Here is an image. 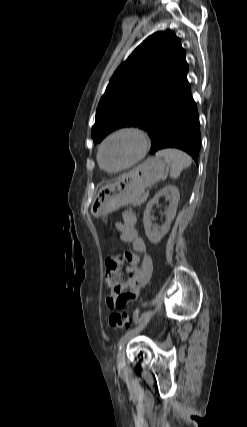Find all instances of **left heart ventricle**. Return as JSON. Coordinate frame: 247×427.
Returning <instances> with one entry per match:
<instances>
[{
	"instance_id": "obj_1",
	"label": "left heart ventricle",
	"mask_w": 247,
	"mask_h": 427,
	"mask_svg": "<svg viewBox=\"0 0 247 427\" xmlns=\"http://www.w3.org/2000/svg\"><path fill=\"white\" fill-rule=\"evenodd\" d=\"M140 143L132 134H122L110 140L103 148L101 158L105 168L113 170L132 161L138 154Z\"/></svg>"
}]
</instances>
